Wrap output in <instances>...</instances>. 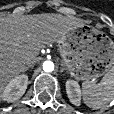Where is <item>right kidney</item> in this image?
<instances>
[{
  "label": "right kidney",
  "mask_w": 114,
  "mask_h": 114,
  "mask_svg": "<svg viewBox=\"0 0 114 114\" xmlns=\"http://www.w3.org/2000/svg\"><path fill=\"white\" fill-rule=\"evenodd\" d=\"M27 85V75L22 74L13 78L3 91V100L7 102H14L18 100L25 93Z\"/></svg>",
  "instance_id": "ca27d5eb"
}]
</instances>
